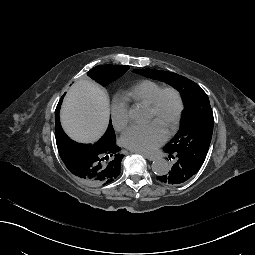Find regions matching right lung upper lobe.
<instances>
[{"mask_svg": "<svg viewBox=\"0 0 255 255\" xmlns=\"http://www.w3.org/2000/svg\"><path fill=\"white\" fill-rule=\"evenodd\" d=\"M64 95L55 111V137L59 155L69 171L79 178V154L87 151L100 156V174L83 181L91 185H106L113 182L120 174L121 161L124 157L116 145L115 132L109 124L107 132L95 144H81L71 140L63 131L59 120V109Z\"/></svg>", "mask_w": 255, "mask_h": 255, "instance_id": "right-lung-upper-lobe-1", "label": "right lung upper lobe"}]
</instances>
